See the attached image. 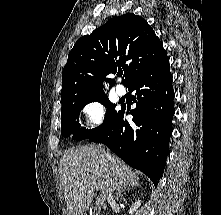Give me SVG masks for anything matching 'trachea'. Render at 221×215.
<instances>
[{
	"label": "trachea",
	"mask_w": 221,
	"mask_h": 215,
	"mask_svg": "<svg viewBox=\"0 0 221 215\" xmlns=\"http://www.w3.org/2000/svg\"><path fill=\"white\" fill-rule=\"evenodd\" d=\"M123 73H120L119 75L122 76Z\"/></svg>",
	"instance_id": "obj_1"
}]
</instances>
